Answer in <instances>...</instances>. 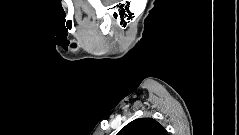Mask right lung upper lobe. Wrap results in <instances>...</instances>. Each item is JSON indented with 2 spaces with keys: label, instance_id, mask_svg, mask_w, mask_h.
I'll return each instance as SVG.
<instances>
[{
  "label": "right lung upper lobe",
  "instance_id": "1",
  "mask_svg": "<svg viewBox=\"0 0 239 135\" xmlns=\"http://www.w3.org/2000/svg\"><path fill=\"white\" fill-rule=\"evenodd\" d=\"M117 135H168V133L156 120L138 118L124 126Z\"/></svg>",
  "mask_w": 239,
  "mask_h": 135
}]
</instances>
